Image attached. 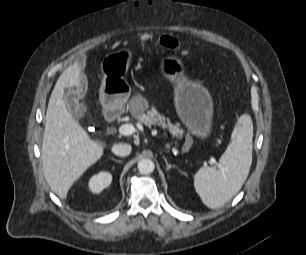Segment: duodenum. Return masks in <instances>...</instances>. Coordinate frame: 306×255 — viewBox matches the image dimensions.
Here are the masks:
<instances>
[{
	"mask_svg": "<svg viewBox=\"0 0 306 255\" xmlns=\"http://www.w3.org/2000/svg\"><path fill=\"white\" fill-rule=\"evenodd\" d=\"M107 116H108V119L110 121H113L116 118V112L115 111H109Z\"/></svg>",
	"mask_w": 306,
	"mask_h": 255,
	"instance_id": "410a0bca",
	"label": "duodenum"
}]
</instances>
